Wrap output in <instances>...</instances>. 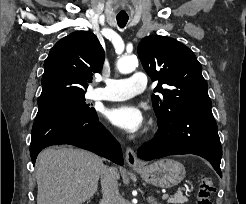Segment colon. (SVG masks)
<instances>
[{
	"label": "colon",
	"instance_id": "obj_1",
	"mask_svg": "<svg viewBox=\"0 0 246 204\" xmlns=\"http://www.w3.org/2000/svg\"><path fill=\"white\" fill-rule=\"evenodd\" d=\"M216 188L212 179L208 176H203L197 191V204H212L211 196Z\"/></svg>",
	"mask_w": 246,
	"mask_h": 204
}]
</instances>
